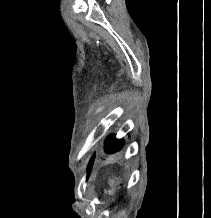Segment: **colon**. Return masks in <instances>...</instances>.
I'll return each mask as SVG.
<instances>
[{
  "instance_id": "obj_1",
  "label": "colon",
  "mask_w": 211,
  "mask_h": 218,
  "mask_svg": "<svg viewBox=\"0 0 211 218\" xmlns=\"http://www.w3.org/2000/svg\"><path fill=\"white\" fill-rule=\"evenodd\" d=\"M112 182H113V183L116 182V178H115V177L112 178Z\"/></svg>"
}]
</instances>
